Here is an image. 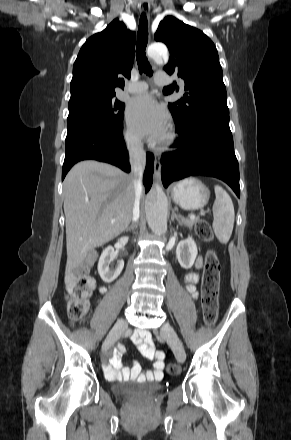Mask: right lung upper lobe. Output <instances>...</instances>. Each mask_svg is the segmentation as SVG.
<instances>
[{
    "label": "right lung upper lobe",
    "instance_id": "right-lung-upper-lobe-1",
    "mask_svg": "<svg viewBox=\"0 0 291 440\" xmlns=\"http://www.w3.org/2000/svg\"><path fill=\"white\" fill-rule=\"evenodd\" d=\"M136 34L118 19L82 46L73 66L70 101L87 96H112L124 88L134 60Z\"/></svg>",
    "mask_w": 291,
    "mask_h": 440
}]
</instances>
